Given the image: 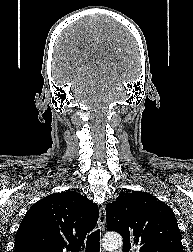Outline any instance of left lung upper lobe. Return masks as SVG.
Here are the masks:
<instances>
[{
    "instance_id": "left-lung-upper-lobe-1",
    "label": "left lung upper lobe",
    "mask_w": 193,
    "mask_h": 252,
    "mask_svg": "<svg viewBox=\"0 0 193 252\" xmlns=\"http://www.w3.org/2000/svg\"><path fill=\"white\" fill-rule=\"evenodd\" d=\"M107 228L123 237V252H183L171 208L146 192H122L106 206Z\"/></svg>"
}]
</instances>
